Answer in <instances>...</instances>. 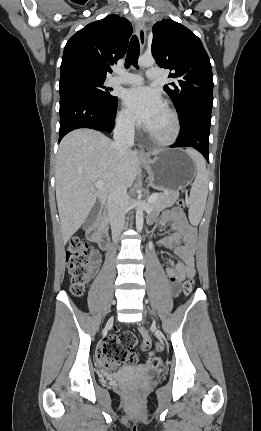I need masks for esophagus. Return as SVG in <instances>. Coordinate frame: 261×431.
<instances>
[{
    "label": "esophagus",
    "mask_w": 261,
    "mask_h": 431,
    "mask_svg": "<svg viewBox=\"0 0 261 431\" xmlns=\"http://www.w3.org/2000/svg\"><path fill=\"white\" fill-rule=\"evenodd\" d=\"M136 33H137V36L139 39L140 48H141V50H143L145 47V44H146V27L141 20L137 21ZM138 152H139L140 156H146V152L142 146H139Z\"/></svg>",
    "instance_id": "1"
}]
</instances>
